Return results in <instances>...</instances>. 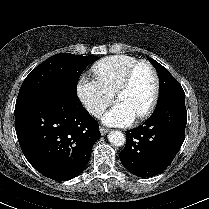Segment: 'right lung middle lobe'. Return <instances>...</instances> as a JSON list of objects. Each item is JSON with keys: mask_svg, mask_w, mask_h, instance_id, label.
<instances>
[{"mask_svg": "<svg viewBox=\"0 0 209 209\" xmlns=\"http://www.w3.org/2000/svg\"><path fill=\"white\" fill-rule=\"evenodd\" d=\"M97 57L60 53L51 56L25 78L16 103L49 87H58L77 95V83L84 69Z\"/></svg>", "mask_w": 209, "mask_h": 209, "instance_id": "1", "label": "right lung middle lobe"}]
</instances>
